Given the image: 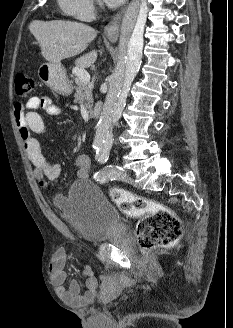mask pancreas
<instances>
[{"instance_id":"pancreas-1","label":"pancreas","mask_w":233,"mask_h":328,"mask_svg":"<svg viewBox=\"0 0 233 328\" xmlns=\"http://www.w3.org/2000/svg\"><path fill=\"white\" fill-rule=\"evenodd\" d=\"M76 89L74 94V101L76 103H84L90 116L93 114V97H92V87L91 85L84 84L79 78L76 81Z\"/></svg>"}]
</instances>
